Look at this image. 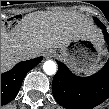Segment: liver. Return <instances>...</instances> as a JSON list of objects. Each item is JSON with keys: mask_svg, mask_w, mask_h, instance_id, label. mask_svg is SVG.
<instances>
[{"mask_svg": "<svg viewBox=\"0 0 109 109\" xmlns=\"http://www.w3.org/2000/svg\"><path fill=\"white\" fill-rule=\"evenodd\" d=\"M79 37L104 42L101 30L79 13H29L11 30L1 28V71H8L22 60V49H30L39 56L51 48L62 49Z\"/></svg>", "mask_w": 109, "mask_h": 109, "instance_id": "1", "label": "liver"}]
</instances>
